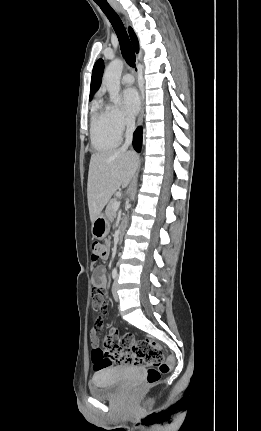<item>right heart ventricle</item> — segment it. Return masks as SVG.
I'll list each match as a JSON object with an SVG mask.
<instances>
[{"label":"right heart ventricle","instance_id":"1","mask_svg":"<svg viewBox=\"0 0 261 431\" xmlns=\"http://www.w3.org/2000/svg\"><path fill=\"white\" fill-rule=\"evenodd\" d=\"M91 141L93 147L101 152L113 150L120 143V134L111 128L106 109L98 102H95L92 107Z\"/></svg>","mask_w":261,"mask_h":431}]
</instances>
